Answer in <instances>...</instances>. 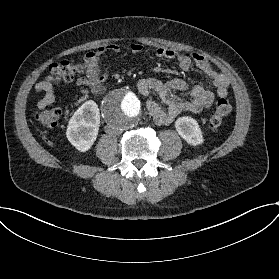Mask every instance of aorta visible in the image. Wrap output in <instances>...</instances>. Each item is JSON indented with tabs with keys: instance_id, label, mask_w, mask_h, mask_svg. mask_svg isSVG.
I'll use <instances>...</instances> for the list:
<instances>
[{
	"instance_id": "aorta-1",
	"label": "aorta",
	"mask_w": 279,
	"mask_h": 279,
	"mask_svg": "<svg viewBox=\"0 0 279 279\" xmlns=\"http://www.w3.org/2000/svg\"><path fill=\"white\" fill-rule=\"evenodd\" d=\"M142 104L127 87L110 91L102 101V114L108 125L126 130L134 127L140 118Z\"/></svg>"
}]
</instances>
